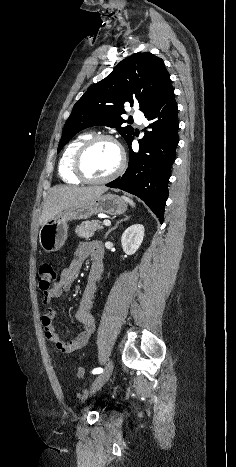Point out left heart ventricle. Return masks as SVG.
Returning <instances> with one entry per match:
<instances>
[{"instance_id": "left-heart-ventricle-1", "label": "left heart ventricle", "mask_w": 236, "mask_h": 467, "mask_svg": "<svg viewBox=\"0 0 236 467\" xmlns=\"http://www.w3.org/2000/svg\"><path fill=\"white\" fill-rule=\"evenodd\" d=\"M119 163V152L116 146L107 140L96 142L87 152L84 168L93 178H103L112 173Z\"/></svg>"}]
</instances>
